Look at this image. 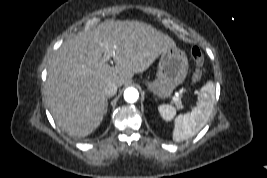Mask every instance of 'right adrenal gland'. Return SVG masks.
I'll use <instances>...</instances> for the list:
<instances>
[{"instance_id":"right-adrenal-gland-1","label":"right adrenal gland","mask_w":267,"mask_h":178,"mask_svg":"<svg viewBox=\"0 0 267 178\" xmlns=\"http://www.w3.org/2000/svg\"><path fill=\"white\" fill-rule=\"evenodd\" d=\"M107 110H108V98H106L105 100V114L107 113Z\"/></svg>"}]
</instances>
